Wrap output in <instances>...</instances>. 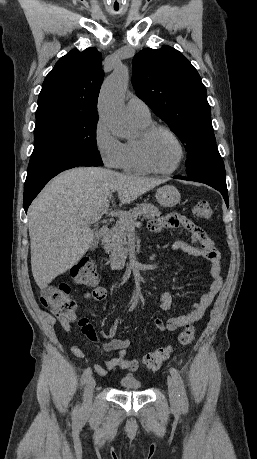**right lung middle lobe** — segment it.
Wrapping results in <instances>:
<instances>
[{
  "instance_id": "1",
  "label": "right lung middle lobe",
  "mask_w": 257,
  "mask_h": 459,
  "mask_svg": "<svg viewBox=\"0 0 257 459\" xmlns=\"http://www.w3.org/2000/svg\"><path fill=\"white\" fill-rule=\"evenodd\" d=\"M34 150L31 158L58 152L84 154L102 162L97 150L98 116L69 110L36 112Z\"/></svg>"
}]
</instances>
